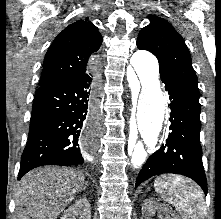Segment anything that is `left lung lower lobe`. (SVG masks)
I'll use <instances>...</instances> for the list:
<instances>
[{
	"label": "left lung lower lobe",
	"instance_id": "0a47b994",
	"mask_svg": "<svg viewBox=\"0 0 221 219\" xmlns=\"http://www.w3.org/2000/svg\"><path fill=\"white\" fill-rule=\"evenodd\" d=\"M162 82L171 100V132L166 143L144 164L136 179L135 188L152 176L174 173L193 179L207 194L199 139V92L171 78L164 77Z\"/></svg>",
	"mask_w": 221,
	"mask_h": 219
}]
</instances>
